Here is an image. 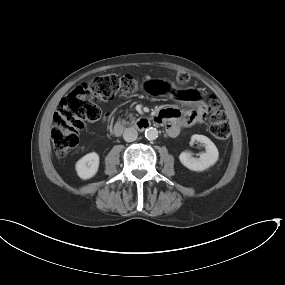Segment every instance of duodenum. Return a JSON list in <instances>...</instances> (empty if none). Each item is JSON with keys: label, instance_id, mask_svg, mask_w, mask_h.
<instances>
[{"label": "duodenum", "instance_id": "410a0bca", "mask_svg": "<svg viewBox=\"0 0 285 285\" xmlns=\"http://www.w3.org/2000/svg\"><path fill=\"white\" fill-rule=\"evenodd\" d=\"M149 126H150V122L147 118L139 119L134 124V128L139 131H144ZM124 129H125V123L117 122L112 126L111 131L115 136H120L122 132L124 131Z\"/></svg>", "mask_w": 285, "mask_h": 285}]
</instances>
